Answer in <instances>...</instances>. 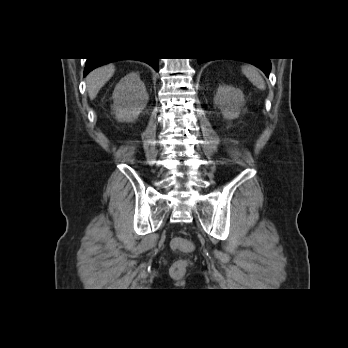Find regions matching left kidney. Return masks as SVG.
Masks as SVG:
<instances>
[{
    "label": "left kidney",
    "mask_w": 348,
    "mask_h": 348,
    "mask_svg": "<svg viewBox=\"0 0 348 348\" xmlns=\"http://www.w3.org/2000/svg\"><path fill=\"white\" fill-rule=\"evenodd\" d=\"M244 94L240 89L230 86H219L214 96V104L220 109L225 119L237 118L244 106Z\"/></svg>",
    "instance_id": "1"
}]
</instances>
